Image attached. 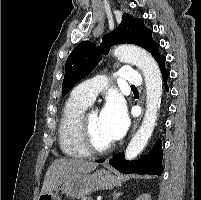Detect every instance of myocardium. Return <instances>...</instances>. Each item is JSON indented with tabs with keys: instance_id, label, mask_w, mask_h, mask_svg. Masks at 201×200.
<instances>
[{
	"instance_id": "myocardium-1",
	"label": "myocardium",
	"mask_w": 201,
	"mask_h": 200,
	"mask_svg": "<svg viewBox=\"0 0 201 200\" xmlns=\"http://www.w3.org/2000/svg\"><path fill=\"white\" fill-rule=\"evenodd\" d=\"M91 113H92L91 111L84 112L79 120V126H78L79 143L82 146V148L89 154L107 153L113 148L112 143L99 147L96 146L90 138L88 118Z\"/></svg>"
}]
</instances>
